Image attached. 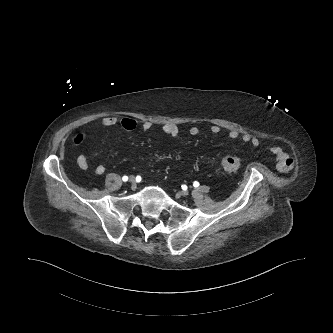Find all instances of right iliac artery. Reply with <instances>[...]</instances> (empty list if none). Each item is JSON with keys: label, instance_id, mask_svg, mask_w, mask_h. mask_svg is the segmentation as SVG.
Returning a JSON list of instances; mask_svg holds the SVG:
<instances>
[{"label": "right iliac artery", "instance_id": "82829eb1", "mask_svg": "<svg viewBox=\"0 0 333 333\" xmlns=\"http://www.w3.org/2000/svg\"><path fill=\"white\" fill-rule=\"evenodd\" d=\"M122 180H123L124 182H126V181L128 180V177H127V176H123Z\"/></svg>", "mask_w": 333, "mask_h": 333}]
</instances>
